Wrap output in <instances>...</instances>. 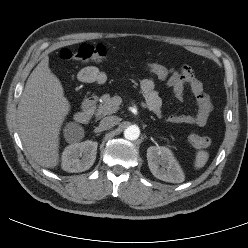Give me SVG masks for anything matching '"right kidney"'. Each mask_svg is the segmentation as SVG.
<instances>
[{
  "label": "right kidney",
  "instance_id": "right-kidney-1",
  "mask_svg": "<svg viewBox=\"0 0 248 248\" xmlns=\"http://www.w3.org/2000/svg\"><path fill=\"white\" fill-rule=\"evenodd\" d=\"M97 146L90 140L67 146L62 153V169L70 173L88 170L95 162Z\"/></svg>",
  "mask_w": 248,
  "mask_h": 248
}]
</instances>
